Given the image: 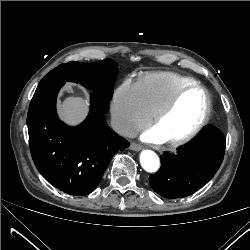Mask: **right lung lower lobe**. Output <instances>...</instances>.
Returning <instances> with one entry per match:
<instances>
[{
	"instance_id": "1",
	"label": "right lung lower lobe",
	"mask_w": 250,
	"mask_h": 250,
	"mask_svg": "<svg viewBox=\"0 0 250 250\" xmlns=\"http://www.w3.org/2000/svg\"><path fill=\"white\" fill-rule=\"evenodd\" d=\"M64 84L37 87L27 116L30 151L36 168L53 186L85 196L96 188L113 155L129 143L106 125L108 100L95 93L82 124L68 127L60 121L56 98Z\"/></svg>"
}]
</instances>
